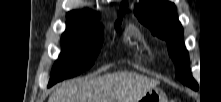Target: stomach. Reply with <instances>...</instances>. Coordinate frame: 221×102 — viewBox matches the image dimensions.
I'll use <instances>...</instances> for the list:
<instances>
[{
  "label": "stomach",
  "instance_id": "obj_1",
  "mask_svg": "<svg viewBox=\"0 0 221 102\" xmlns=\"http://www.w3.org/2000/svg\"><path fill=\"white\" fill-rule=\"evenodd\" d=\"M135 102H167V101H166V95L162 90L158 88H153L146 91Z\"/></svg>",
  "mask_w": 221,
  "mask_h": 102
}]
</instances>
